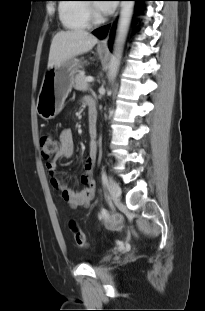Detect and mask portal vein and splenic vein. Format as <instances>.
I'll return each mask as SVG.
<instances>
[{"instance_id":"18ae733b","label":"portal vein and splenic vein","mask_w":205,"mask_h":311,"mask_svg":"<svg viewBox=\"0 0 205 311\" xmlns=\"http://www.w3.org/2000/svg\"><path fill=\"white\" fill-rule=\"evenodd\" d=\"M86 81H87V82H93V81H94V78L91 77V76H88V77L86 78Z\"/></svg>"}]
</instances>
